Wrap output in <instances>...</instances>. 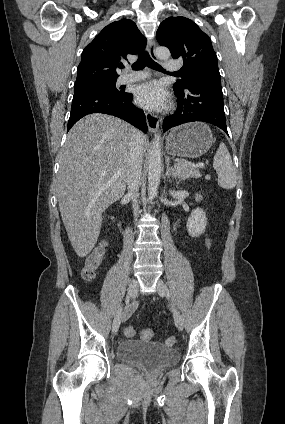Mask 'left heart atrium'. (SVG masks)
Segmentation results:
<instances>
[{
  "label": "left heart atrium",
  "mask_w": 285,
  "mask_h": 424,
  "mask_svg": "<svg viewBox=\"0 0 285 424\" xmlns=\"http://www.w3.org/2000/svg\"><path fill=\"white\" fill-rule=\"evenodd\" d=\"M136 99L141 106L147 109L161 110L168 103V94L161 83L150 81L137 88Z\"/></svg>",
  "instance_id": "1"
}]
</instances>
